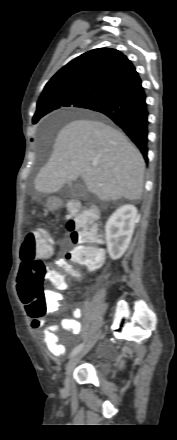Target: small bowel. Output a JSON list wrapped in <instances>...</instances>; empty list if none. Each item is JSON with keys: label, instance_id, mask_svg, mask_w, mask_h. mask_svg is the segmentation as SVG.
I'll return each instance as SVG.
<instances>
[{"label": "small bowel", "instance_id": "c3829d8e", "mask_svg": "<svg viewBox=\"0 0 177 440\" xmlns=\"http://www.w3.org/2000/svg\"><path fill=\"white\" fill-rule=\"evenodd\" d=\"M63 262V261H61ZM67 287V283L63 288ZM48 299V311L55 312L62 308V296L57 293L50 291L47 293ZM82 315V309L76 307L72 309L71 316L63 318L59 323L53 324L45 327V319L32 318V327L36 330L41 329L42 339L45 342L48 350L55 356H61L65 353V346L60 343L59 338L56 334L60 328L69 331L73 335H79L81 333V323L79 318Z\"/></svg>", "mask_w": 177, "mask_h": 440}]
</instances>
